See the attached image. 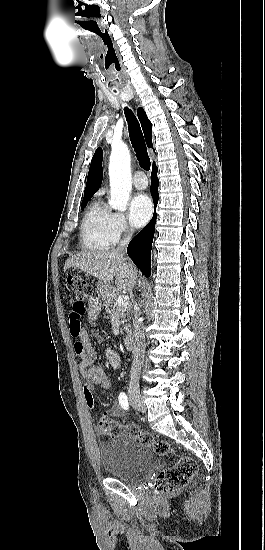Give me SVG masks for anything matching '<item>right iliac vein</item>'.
I'll use <instances>...</instances> for the list:
<instances>
[{
	"mask_svg": "<svg viewBox=\"0 0 265 550\" xmlns=\"http://www.w3.org/2000/svg\"><path fill=\"white\" fill-rule=\"evenodd\" d=\"M128 396H129V400H130V403L131 405L141 411V412H145L146 411V406L144 404V401L143 399L141 398V395H140V392H139V389L136 387V386H131L129 388V391H128Z\"/></svg>",
	"mask_w": 265,
	"mask_h": 550,
	"instance_id": "1",
	"label": "right iliac vein"
}]
</instances>
